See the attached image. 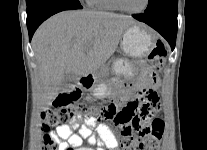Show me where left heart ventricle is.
Returning <instances> with one entry per match:
<instances>
[{
	"label": "left heart ventricle",
	"mask_w": 207,
	"mask_h": 150,
	"mask_svg": "<svg viewBox=\"0 0 207 150\" xmlns=\"http://www.w3.org/2000/svg\"><path fill=\"white\" fill-rule=\"evenodd\" d=\"M121 2L129 10H139L143 7L145 0H121Z\"/></svg>",
	"instance_id": "left-heart-ventricle-1"
}]
</instances>
